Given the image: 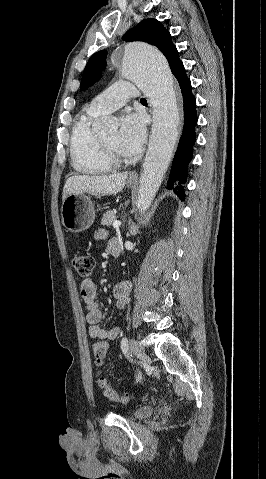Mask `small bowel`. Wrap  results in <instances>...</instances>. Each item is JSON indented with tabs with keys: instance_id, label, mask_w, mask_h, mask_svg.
Wrapping results in <instances>:
<instances>
[{
	"instance_id": "c3829d8e",
	"label": "small bowel",
	"mask_w": 266,
	"mask_h": 479,
	"mask_svg": "<svg viewBox=\"0 0 266 479\" xmlns=\"http://www.w3.org/2000/svg\"><path fill=\"white\" fill-rule=\"evenodd\" d=\"M98 237L103 238L104 233L100 231L98 233ZM130 291L131 284L129 282H121L115 286L113 293L116 298V304L118 308L123 309L129 304ZM80 292L88 310L86 319L89 324V336L92 339L97 340L111 341L116 339L121 332L120 327L103 328L100 326V321L103 316L102 305L98 298V293L94 281L89 278L84 279L80 285Z\"/></svg>"
}]
</instances>
